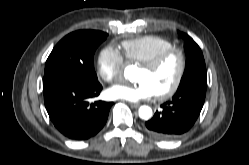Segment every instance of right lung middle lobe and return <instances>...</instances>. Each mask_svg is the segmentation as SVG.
I'll return each mask as SVG.
<instances>
[{
    "label": "right lung middle lobe",
    "instance_id": "dd1d6c3e",
    "mask_svg": "<svg viewBox=\"0 0 249 165\" xmlns=\"http://www.w3.org/2000/svg\"><path fill=\"white\" fill-rule=\"evenodd\" d=\"M106 36V33L95 30H79L68 34L49 55L44 76L57 75L84 84H97L94 53Z\"/></svg>",
    "mask_w": 249,
    "mask_h": 165
}]
</instances>
